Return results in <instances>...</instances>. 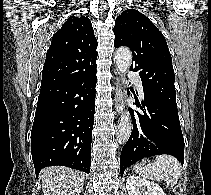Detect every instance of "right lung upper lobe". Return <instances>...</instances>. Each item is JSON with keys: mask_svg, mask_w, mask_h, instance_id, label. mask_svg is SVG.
Returning <instances> with one entry per match:
<instances>
[{"mask_svg": "<svg viewBox=\"0 0 211 195\" xmlns=\"http://www.w3.org/2000/svg\"><path fill=\"white\" fill-rule=\"evenodd\" d=\"M97 40L86 16H71L52 38L41 87L88 73L97 67Z\"/></svg>", "mask_w": 211, "mask_h": 195, "instance_id": "right-lung-upper-lobe-1", "label": "right lung upper lobe"}]
</instances>
